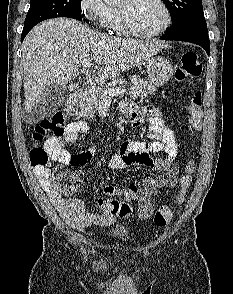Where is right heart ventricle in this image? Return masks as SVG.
Here are the masks:
<instances>
[{
  "label": "right heart ventricle",
  "instance_id": "obj_1",
  "mask_svg": "<svg viewBox=\"0 0 233 294\" xmlns=\"http://www.w3.org/2000/svg\"><path fill=\"white\" fill-rule=\"evenodd\" d=\"M108 28H110L112 31L118 34H125V31L123 29L122 22H121L119 9L111 8Z\"/></svg>",
  "mask_w": 233,
  "mask_h": 294
}]
</instances>
